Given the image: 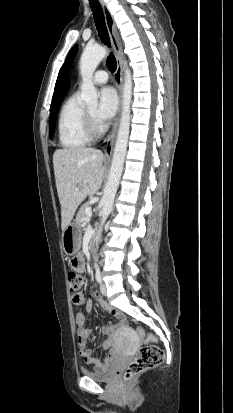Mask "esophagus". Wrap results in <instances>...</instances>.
<instances>
[{"label":"esophagus","instance_id":"esophagus-1","mask_svg":"<svg viewBox=\"0 0 233 413\" xmlns=\"http://www.w3.org/2000/svg\"><path fill=\"white\" fill-rule=\"evenodd\" d=\"M99 2L103 10L107 31L109 34L111 45L115 52L116 63H117V68H116L114 78H115V85L117 87L118 95H119L118 113H117L115 122L113 124V127L109 135L106 138V144H105V149H104V159L109 161L112 157L113 147H114V143H115V139H116V135L118 131L120 115H121L122 99H123V69H122V62H121L122 47L119 42V37L117 34L114 18L107 4L105 3L104 0H99Z\"/></svg>","mask_w":233,"mask_h":413}]
</instances>
